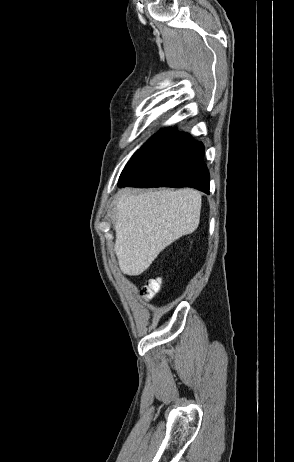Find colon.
Listing matches in <instances>:
<instances>
[{
  "label": "colon",
  "mask_w": 294,
  "mask_h": 462,
  "mask_svg": "<svg viewBox=\"0 0 294 462\" xmlns=\"http://www.w3.org/2000/svg\"><path fill=\"white\" fill-rule=\"evenodd\" d=\"M161 285H162L161 277L152 278L148 280L147 283L142 288L141 295L145 299H151L159 292Z\"/></svg>",
  "instance_id": "1"
}]
</instances>
